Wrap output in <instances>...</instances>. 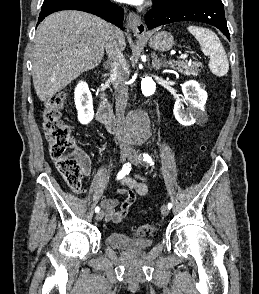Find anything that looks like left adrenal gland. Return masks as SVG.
I'll list each match as a JSON object with an SVG mask.
<instances>
[{
	"mask_svg": "<svg viewBox=\"0 0 259 294\" xmlns=\"http://www.w3.org/2000/svg\"><path fill=\"white\" fill-rule=\"evenodd\" d=\"M167 62L166 60L158 59L155 53L152 54V67L155 70H159L161 67H166Z\"/></svg>",
	"mask_w": 259,
	"mask_h": 294,
	"instance_id": "1",
	"label": "left adrenal gland"
}]
</instances>
